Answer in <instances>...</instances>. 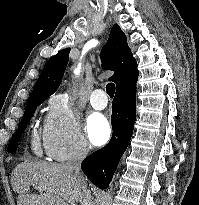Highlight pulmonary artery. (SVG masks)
I'll return each mask as SVG.
<instances>
[{
	"label": "pulmonary artery",
	"mask_w": 199,
	"mask_h": 205,
	"mask_svg": "<svg viewBox=\"0 0 199 205\" xmlns=\"http://www.w3.org/2000/svg\"><path fill=\"white\" fill-rule=\"evenodd\" d=\"M91 106L96 110H102L107 106L108 100L102 89H96L90 97Z\"/></svg>",
	"instance_id": "pulmonary-artery-1"
}]
</instances>
